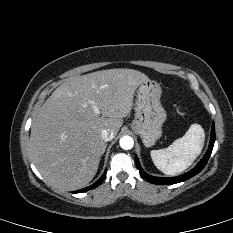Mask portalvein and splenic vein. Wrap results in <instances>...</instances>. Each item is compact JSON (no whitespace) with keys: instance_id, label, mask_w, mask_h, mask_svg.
Instances as JSON below:
<instances>
[{"instance_id":"portal-vein-and-splenic-vein-1","label":"portal vein and splenic vein","mask_w":233,"mask_h":233,"mask_svg":"<svg viewBox=\"0 0 233 233\" xmlns=\"http://www.w3.org/2000/svg\"><path fill=\"white\" fill-rule=\"evenodd\" d=\"M93 108H94V112L98 114L99 113V109L96 106H94Z\"/></svg>"}]
</instances>
